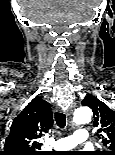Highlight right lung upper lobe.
<instances>
[{"label": "right lung upper lobe", "mask_w": 115, "mask_h": 155, "mask_svg": "<svg viewBox=\"0 0 115 155\" xmlns=\"http://www.w3.org/2000/svg\"><path fill=\"white\" fill-rule=\"evenodd\" d=\"M52 124L50 104L35 97L13 120L4 151H0V155H46L41 151L42 144L38 139L41 132L47 131Z\"/></svg>", "instance_id": "right-lung-upper-lobe-1"}]
</instances>
